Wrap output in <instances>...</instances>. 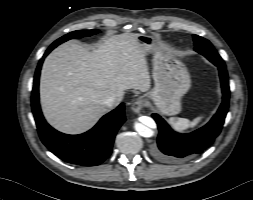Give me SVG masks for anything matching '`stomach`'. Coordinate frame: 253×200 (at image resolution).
<instances>
[{"instance_id":"0dacf381","label":"stomach","mask_w":253,"mask_h":200,"mask_svg":"<svg viewBox=\"0 0 253 200\" xmlns=\"http://www.w3.org/2000/svg\"><path fill=\"white\" fill-rule=\"evenodd\" d=\"M136 41L147 54L153 53L155 86L148 94L158 110L165 115L181 111V97L191 86L190 75L184 64L174 57L151 35L137 34Z\"/></svg>"}]
</instances>
